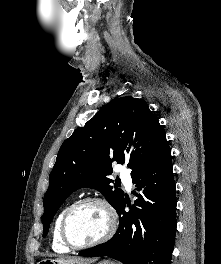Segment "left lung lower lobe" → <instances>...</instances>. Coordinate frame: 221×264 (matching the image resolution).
<instances>
[{
	"label": "left lung lower lobe",
	"instance_id": "left-lung-lower-lobe-1",
	"mask_svg": "<svg viewBox=\"0 0 221 264\" xmlns=\"http://www.w3.org/2000/svg\"><path fill=\"white\" fill-rule=\"evenodd\" d=\"M171 150L165 140L152 161L132 176L138 197L133 206L123 198L116 208L119 228L107 242L81 251L83 256H108L124 264H171L176 232V186ZM149 201H145L139 191ZM128 204L130 211L126 212Z\"/></svg>",
	"mask_w": 221,
	"mask_h": 264
}]
</instances>
